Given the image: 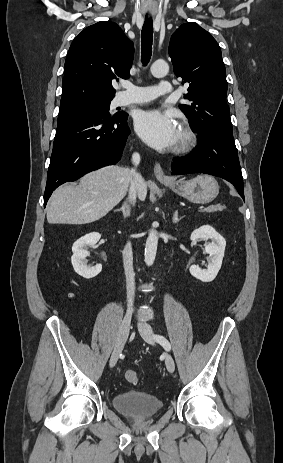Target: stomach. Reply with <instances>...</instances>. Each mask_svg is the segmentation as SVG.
Returning a JSON list of instances; mask_svg holds the SVG:
<instances>
[{
  "mask_svg": "<svg viewBox=\"0 0 283 463\" xmlns=\"http://www.w3.org/2000/svg\"><path fill=\"white\" fill-rule=\"evenodd\" d=\"M164 184L174 193L195 203H209L219 193L218 182L209 175H200L190 180L179 179Z\"/></svg>",
  "mask_w": 283,
  "mask_h": 463,
  "instance_id": "obj_1",
  "label": "stomach"
}]
</instances>
